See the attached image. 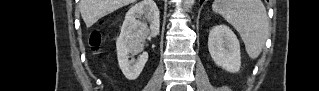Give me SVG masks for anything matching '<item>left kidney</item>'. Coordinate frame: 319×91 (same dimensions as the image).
I'll return each instance as SVG.
<instances>
[{"label": "left kidney", "instance_id": "5707ae66", "mask_svg": "<svg viewBox=\"0 0 319 91\" xmlns=\"http://www.w3.org/2000/svg\"><path fill=\"white\" fill-rule=\"evenodd\" d=\"M208 49L217 66L235 73L240 70V43L232 30L224 25L214 26L209 32Z\"/></svg>", "mask_w": 319, "mask_h": 91}]
</instances>
